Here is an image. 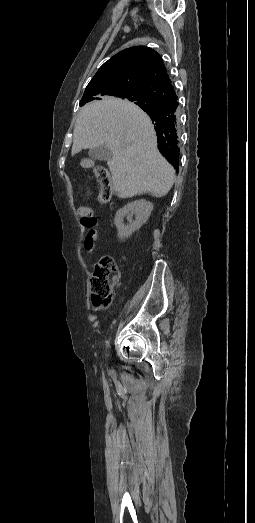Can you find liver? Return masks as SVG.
Segmentation results:
<instances>
[{"label":"liver","instance_id":"6515ba94","mask_svg":"<svg viewBox=\"0 0 255 523\" xmlns=\"http://www.w3.org/2000/svg\"><path fill=\"white\" fill-rule=\"evenodd\" d=\"M107 144L108 166L119 198L152 192L166 196L175 170L157 148L154 126L147 114L128 100H98L81 108L73 132L72 156Z\"/></svg>","mask_w":255,"mask_h":523}]
</instances>
